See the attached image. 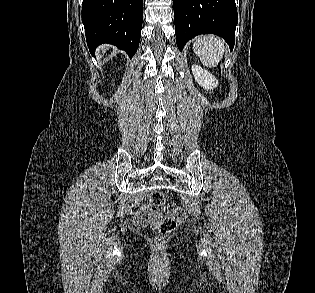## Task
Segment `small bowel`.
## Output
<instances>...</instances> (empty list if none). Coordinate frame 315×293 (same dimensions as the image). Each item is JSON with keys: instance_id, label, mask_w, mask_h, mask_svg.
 <instances>
[{"instance_id": "1", "label": "small bowel", "mask_w": 315, "mask_h": 293, "mask_svg": "<svg viewBox=\"0 0 315 293\" xmlns=\"http://www.w3.org/2000/svg\"><path fill=\"white\" fill-rule=\"evenodd\" d=\"M162 218V213L151 210V204H144L135 216V224L140 227L144 226H156L159 219Z\"/></svg>"}]
</instances>
